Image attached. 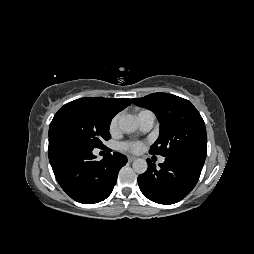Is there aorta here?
I'll return each mask as SVG.
<instances>
[{
    "instance_id": "obj_1",
    "label": "aorta",
    "mask_w": 254,
    "mask_h": 254,
    "mask_svg": "<svg viewBox=\"0 0 254 254\" xmlns=\"http://www.w3.org/2000/svg\"><path fill=\"white\" fill-rule=\"evenodd\" d=\"M119 128L124 133H133L137 130L138 124L137 122L131 117H123L119 120ZM133 170L138 174H143L147 171L148 164L146 160L138 158L134 160L132 164Z\"/></svg>"
}]
</instances>
